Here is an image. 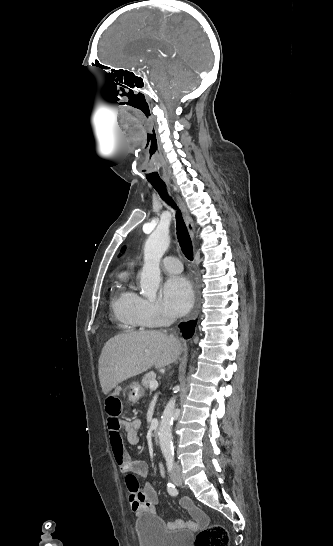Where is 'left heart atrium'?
<instances>
[{
	"label": "left heart atrium",
	"mask_w": 333,
	"mask_h": 546,
	"mask_svg": "<svg viewBox=\"0 0 333 546\" xmlns=\"http://www.w3.org/2000/svg\"><path fill=\"white\" fill-rule=\"evenodd\" d=\"M193 301V291L189 281L181 276H172L162 288V302L166 312L171 316L185 314Z\"/></svg>",
	"instance_id": "1"
}]
</instances>
